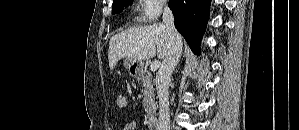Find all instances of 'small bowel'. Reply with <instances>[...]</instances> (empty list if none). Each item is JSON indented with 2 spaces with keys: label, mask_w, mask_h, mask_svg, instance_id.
<instances>
[{
  "label": "small bowel",
  "mask_w": 299,
  "mask_h": 130,
  "mask_svg": "<svg viewBox=\"0 0 299 130\" xmlns=\"http://www.w3.org/2000/svg\"><path fill=\"white\" fill-rule=\"evenodd\" d=\"M136 129H137V124L134 121L126 123L122 128V130H136Z\"/></svg>",
  "instance_id": "small-bowel-1"
}]
</instances>
